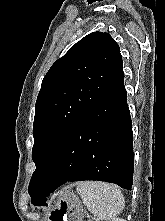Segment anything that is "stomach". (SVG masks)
Listing matches in <instances>:
<instances>
[{
    "mask_svg": "<svg viewBox=\"0 0 165 221\" xmlns=\"http://www.w3.org/2000/svg\"><path fill=\"white\" fill-rule=\"evenodd\" d=\"M49 212L51 217H68L50 218V221H81L82 205L73 192L66 191L59 196L58 204H52Z\"/></svg>",
    "mask_w": 165,
    "mask_h": 221,
    "instance_id": "0dacf381",
    "label": "stomach"
}]
</instances>
